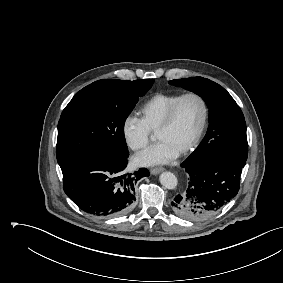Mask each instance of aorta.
Listing matches in <instances>:
<instances>
[{
    "label": "aorta",
    "instance_id": "762f6f07",
    "mask_svg": "<svg viewBox=\"0 0 283 283\" xmlns=\"http://www.w3.org/2000/svg\"><path fill=\"white\" fill-rule=\"evenodd\" d=\"M159 179L160 183L167 189H175L178 184L177 177L171 172H163Z\"/></svg>",
    "mask_w": 283,
    "mask_h": 283
}]
</instances>
